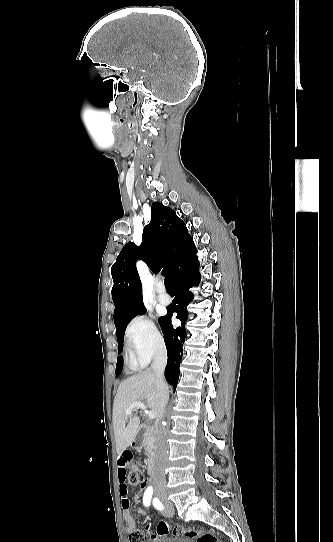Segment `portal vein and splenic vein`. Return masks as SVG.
I'll use <instances>...</instances> for the list:
<instances>
[{"mask_svg":"<svg viewBox=\"0 0 333 542\" xmlns=\"http://www.w3.org/2000/svg\"><path fill=\"white\" fill-rule=\"evenodd\" d=\"M134 408H138V410H144L145 414H147L148 418H156V412H149L147 410V406H144V404H141V402H134V404H131L129 406L128 410H126L125 414H131V410H134Z\"/></svg>","mask_w":333,"mask_h":542,"instance_id":"18ae733b","label":"portal vein and splenic vein"}]
</instances>
